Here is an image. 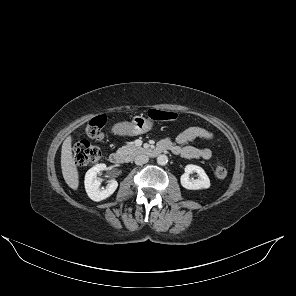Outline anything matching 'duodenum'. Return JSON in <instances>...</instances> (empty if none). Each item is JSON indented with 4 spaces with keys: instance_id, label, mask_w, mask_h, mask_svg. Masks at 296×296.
Returning a JSON list of instances; mask_svg holds the SVG:
<instances>
[{
    "instance_id": "duodenum-1",
    "label": "duodenum",
    "mask_w": 296,
    "mask_h": 296,
    "mask_svg": "<svg viewBox=\"0 0 296 296\" xmlns=\"http://www.w3.org/2000/svg\"><path fill=\"white\" fill-rule=\"evenodd\" d=\"M164 151H168L167 147L163 145H158L155 147L147 148L145 153L149 156H157ZM109 160L114 165H121L125 162V155L121 152H112L109 155Z\"/></svg>"
}]
</instances>
